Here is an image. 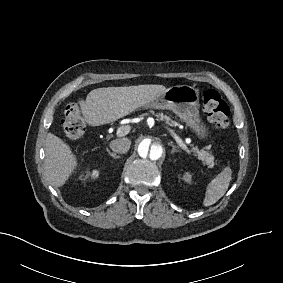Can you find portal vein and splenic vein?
Listing matches in <instances>:
<instances>
[{"label": "portal vein and splenic vein", "mask_w": 283, "mask_h": 283, "mask_svg": "<svg viewBox=\"0 0 283 283\" xmlns=\"http://www.w3.org/2000/svg\"><path fill=\"white\" fill-rule=\"evenodd\" d=\"M121 131H124V133H128L130 131V127L129 126H125V127H121L118 129L117 131V135H120ZM169 132L171 133L172 137L175 139V141L177 142V144L186 152L190 153L188 147L186 146V144L183 142V140L172 130L169 129ZM186 143H189V139H186Z\"/></svg>", "instance_id": "1"}]
</instances>
